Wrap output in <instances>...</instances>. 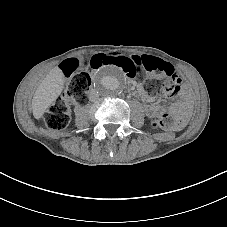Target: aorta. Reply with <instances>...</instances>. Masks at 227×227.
<instances>
[{"mask_svg":"<svg viewBox=\"0 0 227 227\" xmlns=\"http://www.w3.org/2000/svg\"><path fill=\"white\" fill-rule=\"evenodd\" d=\"M124 87L125 78L118 67L107 65L95 73L93 88L103 97L117 96Z\"/></svg>","mask_w":227,"mask_h":227,"instance_id":"obj_1","label":"aorta"}]
</instances>
